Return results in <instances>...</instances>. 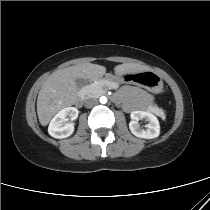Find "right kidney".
Returning a JSON list of instances; mask_svg holds the SVG:
<instances>
[{
    "label": "right kidney",
    "mask_w": 210,
    "mask_h": 210,
    "mask_svg": "<svg viewBox=\"0 0 210 210\" xmlns=\"http://www.w3.org/2000/svg\"><path fill=\"white\" fill-rule=\"evenodd\" d=\"M78 117V110L75 107H67L59 111L51 120L48 133L54 138H66L74 132V125L67 123V118L72 120Z\"/></svg>",
    "instance_id": "1"
}]
</instances>
